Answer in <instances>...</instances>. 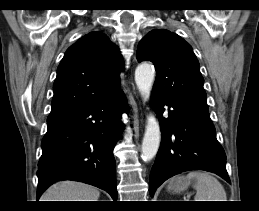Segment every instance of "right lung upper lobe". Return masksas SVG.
<instances>
[{
    "instance_id": "obj_1",
    "label": "right lung upper lobe",
    "mask_w": 259,
    "mask_h": 211,
    "mask_svg": "<svg viewBox=\"0 0 259 211\" xmlns=\"http://www.w3.org/2000/svg\"><path fill=\"white\" fill-rule=\"evenodd\" d=\"M120 51L102 32L80 38L66 51L53 85L51 113L83 107L121 91Z\"/></svg>"
}]
</instances>
